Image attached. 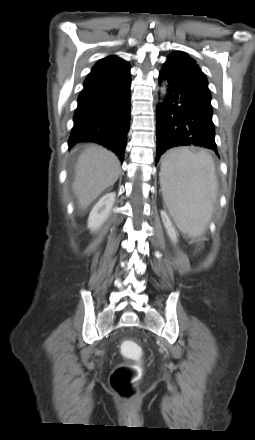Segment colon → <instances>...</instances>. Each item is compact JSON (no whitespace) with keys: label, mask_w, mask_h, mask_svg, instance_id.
Here are the masks:
<instances>
[{"label":"colon","mask_w":255,"mask_h":440,"mask_svg":"<svg viewBox=\"0 0 255 440\" xmlns=\"http://www.w3.org/2000/svg\"><path fill=\"white\" fill-rule=\"evenodd\" d=\"M120 349L124 356L135 362L116 366L111 374V385L121 396L131 397L135 394L136 383L141 377V368L137 363L141 356V348L134 341L125 340Z\"/></svg>","instance_id":"5ec220e1"}]
</instances>
